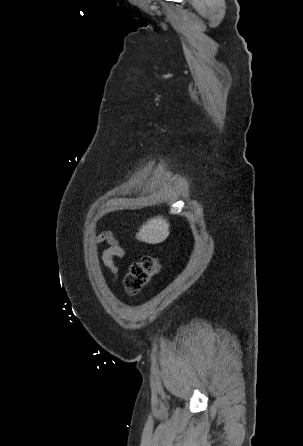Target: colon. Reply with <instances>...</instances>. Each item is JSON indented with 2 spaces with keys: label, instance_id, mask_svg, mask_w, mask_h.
<instances>
[{
  "label": "colon",
  "instance_id": "1",
  "mask_svg": "<svg viewBox=\"0 0 303 446\" xmlns=\"http://www.w3.org/2000/svg\"><path fill=\"white\" fill-rule=\"evenodd\" d=\"M160 262L152 256H144L130 265L125 277L127 291L134 295L160 271Z\"/></svg>",
  "mask_w": 303,
  "mask_h": 446
}]
</instances>
